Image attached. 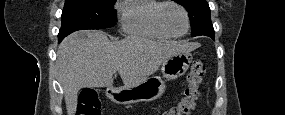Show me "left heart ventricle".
<instances>
[{
	"label": "left heart ventricle",
	"instance_id": "obj_1",
	"mask_svg": "<svg viewBox=\"0 0 285 115\" xmlns=\"http://www.w3.org/2000/svg\"><path fill=\"white\" fill-rule=\"evenodd\" d=\"M162 21L166 28L173 34H181L186 29L184 14L180 8L174 5L165 6L162 10Z\"/></svg>",
	"mask_w": 285,
	"mask_h": 115
}]
</instances>
